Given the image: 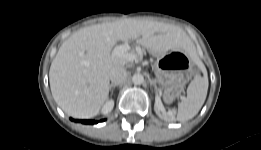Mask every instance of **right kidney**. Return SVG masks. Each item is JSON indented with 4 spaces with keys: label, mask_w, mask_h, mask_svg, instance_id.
<instances>
[{
    "label": "right kidney",
    "mask_w": 261,
    "mask_h": 150,
    "mask_svg": "<svg viewBox=\"0 0 261 150\" xmlns=\"http://www.w3.org/2000/svg\"><path fill=\"white\" fill-rule=\"evenodd\" d=\"M113 106H114V101L109 100L104 104L101 112L104 113V114H107L113 109Z\"/></svg>",
    "instance_id": "obj_1"
}]
</instances>
